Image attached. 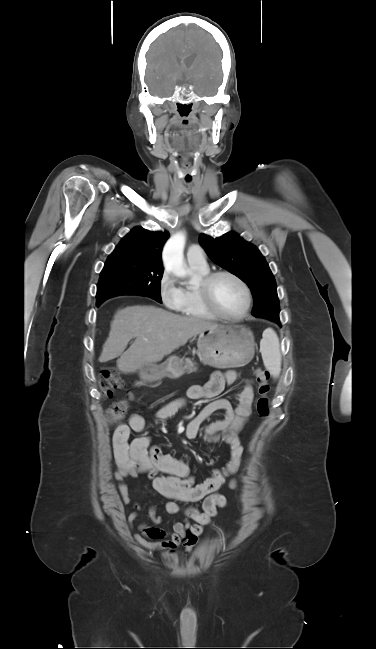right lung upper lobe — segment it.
<instances>
[{
	"label": "right lung upper lobe",
	"instance_id": "obj_1",
	"mask_svg": "<svg viewBox=\"0 0 376 649\" xmlns=\"http://www.w3.org/2000/svg\"><path fill=\"white\" fill-rule=\"evenodd\" d=\"M168 232H152L142 227L131 230L110 256H132L150 262L152 269H163L161 252Z\"/></svg>",
	"mask_w": 376,
	"mask_h": 649
}]
</instances>
